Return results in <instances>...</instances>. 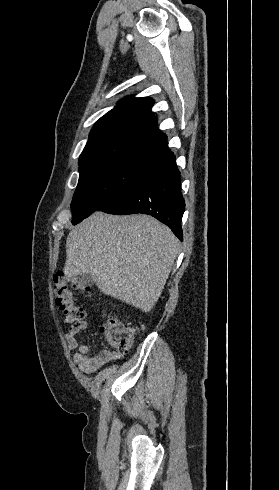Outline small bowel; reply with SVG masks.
Masks as SVG:
<instances>
[{
  "label": "small bowel",
  "instance_id": "c3829d8e",
  "mask_svg": "<svg viewBox=\"0 0 279 490\" xmlns=\"http://www.w3.org/2000/svg\"><path fill=\"white\" fill-rule=\"evenodd\" d=\"M87 328L88 323L86 321L77 322L66 331L64 338L67 346L76 350L73 360L79 370L84 374L91 375L104 365L122 359L123 354L103 349L96 355H90L89 347L86 344H80L78 341L79 333Z\"/></svg>",
  "mask_w": 279,
  "mask_h": 490
}]
</instances>
